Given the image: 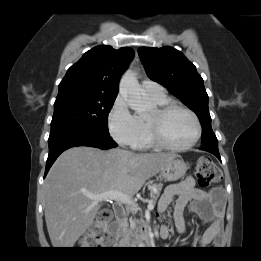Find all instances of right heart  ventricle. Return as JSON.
Returning a JSON list of instances; mask_svg holds the SVG:
<instances>
[{
	"label": "right heart ventricle",
	"mask_w": 261,
	"mask_h": 261,
	"mask_svg": "<svg viewBox=\"0 0 261 261\" xmlns=\"http://www.w3.org/2000/svg\"><path fill=\"white\" fill-rule=\"evenodd\" d=\"M148 98L156 106L163 105V104H165L169 101V99L167 98V96L165 94L160 95V96L148 95ZM136 117H137V119H138V121L141 125L140 143L136 148L143 149V148L152 147L153 143L151 142V139H150V136H149L148 127H147V123H146V117L142 116V115H137Z\"/></svg>",
	"instance_id": "right-heart-ventricle-1"
}]
</instances>
